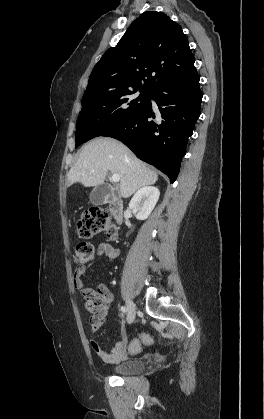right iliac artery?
Masks as SVG:
<instances>
[{
  "label": "right iliac artery",
  "instance_id": "82829eb1",
  "mask_svg": "<svg viewBox=\"0 0 264 419\" xmlns=\"http://www.w3.org/2000/svg\"><path fill=\"white\" fill-rule=\"evenodd\" d=\"M120 311L124 314L126 313V307L125 306H121Z\"/></svg>",
  "mask_w": 264,
  "mask_h": 419
}]
</instances>
